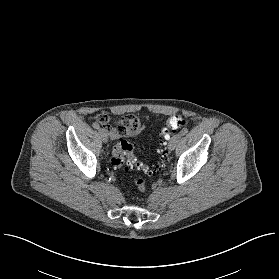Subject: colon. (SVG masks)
I'll return each instance as SVG.
<instances>
[{
    "mask_svg": "<svg viewBox=\"0 0 279 279\" xmlns=\"http://www.w3.org/2000/svg\"><path fill=\"white\" fill-rule=\"evenodd\" d=\"M185 125V120L181 116H173L168 118L163 128L160 130V140H163L166 134L173 133ZM159 156L162 158L165 155L164 149H159ZM111 164L114 168L125 170L127 165L130 167L138 168L148 175L155 174L161 167L162 161L156 166H149L139 160L135 153V146L124 140L120 139L113 147ZM137 188L141 191L145 189V183L142 179L135 181Z\"/></svg>",
    "mask_w": 279,
    "mask_h": 279,
    "instance_id": "5ec220e1",
    "label": "colon"
}]
</instances>
